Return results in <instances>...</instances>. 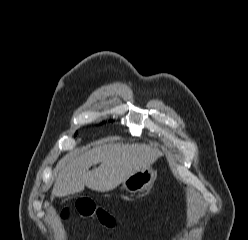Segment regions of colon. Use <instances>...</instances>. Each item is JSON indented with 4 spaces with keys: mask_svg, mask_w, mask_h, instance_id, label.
Instances as JSON below:
<instances>
[{
    "mask_svg": "<svg viewBox=\"0 0 248 240\" xmlns=\"http://www.w3.org/2000/svg\"><path fill=\"white\" fill-rule=\"evenodd\" d=\"M74 210L82 218L93 219L105 228H114L117 225V219L113 214L102 207L96 206L91 200H79L75 204ZM70 213L71 209L65 208L62 211L61 216L66 219L69 217Z\"/></svg>",
    "mask_w": 248,
    "mask_h": 240,
    "instance_id": "1",
    "label": "colon"
}]
</instances>
